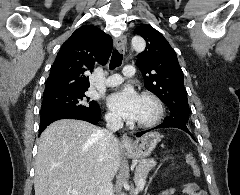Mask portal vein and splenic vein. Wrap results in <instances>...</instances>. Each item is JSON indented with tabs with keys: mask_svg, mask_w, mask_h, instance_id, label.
I'll return each mask as SVG.
<instances>
[{
	"mask_svg": "<svg viewBox=\"0 0 240 195\" xmlns=\"http://www.w3.org/2000/svg\"><path fill=\"white\" fill-rule=\"evenodd\" d=\"M138 187H139V189H142L143 191L145 190L144 188H145V182H142L143 181V178L142 177H139L138 178ZM71 191H72V193H77V189H71Z\"/></svg>",
	"mask_w": 240,
	"mask_h": 195,
	"instance_id": "18ae733b",
	"label": "portal vein and splenic vein"
}]
</instances>
